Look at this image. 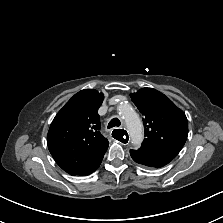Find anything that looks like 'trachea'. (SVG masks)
Wrapping results in <instances>:
<instances>
[{"label":"trachea","mask_w":223,"mask_h":223,"mask_svg":"<svg viewBox=\"0 0 223 223\" xmlns=\"http://www.w3.org/2000/svg\"><path fill=\"white\" fill-rule=\"evenodd\" d=\"M120 125H121L120 120H119L118 118H113V119L109 122L107 128L110 129V128H113V127H119Z\"/></svg>","instance_id":"3493384b"}]
</instances>
